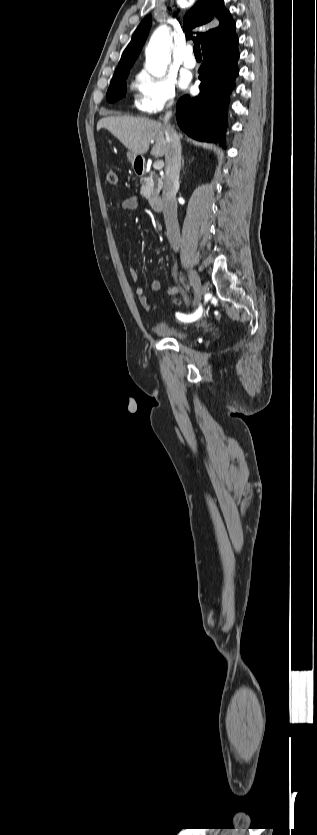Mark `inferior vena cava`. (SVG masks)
I'll return each instance as SVG.
<instances>
[{
	"mask_svg": "<svg viewBox=\"0 0 317 835\" xmlns=\"http://www.w3.org/2000/svg\"><path fill=\"white\" fill-rule=\"evenodd\" d=\"M170 107V105H169ZM171 111L164 116L165 136L167 148L165 152V178L162 193L163 215L167 230V237L171 247L178 251L180 246V230L177 218L176 193L179 188V174L181 168V143L178 134L169 125Z\"/></svg>",
	"mask_w": 317,
	"mask_h": 835,
	"instance_id": "602c4592",
	"label": "inferior vena cava"
}]
</instances>
